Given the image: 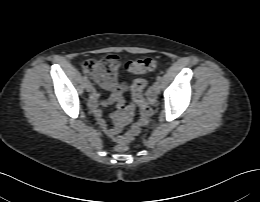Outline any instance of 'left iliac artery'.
Segmentation results:
<instances>
[{
    "label": "left iliac artery",
    "mask_w": 260,
    "mask_h": 202,
    "mask_svg": "<svg viewBox=\"0 0 260 202\" xmlns=\"http://www.w3.org/2000/svg\"><path fill=\"white\" fill-rule=\"evenodd\" d=\"M156 80H157L158 82H161L162 77L159 75V76H157Z\"/></svg>",
    "instance_id": "left-iliac-artery-1"
}]
</instances>
